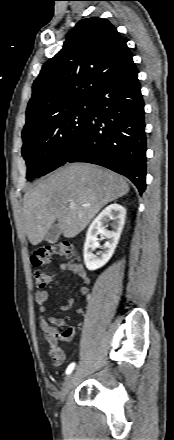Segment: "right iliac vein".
Returning a JSON list of instances; mask_svg holds the SVG:
<instances>
[{
	"label": "right iliac vein",
	"mask_w": 174,
	"mask_h": 440,
	"mask_svg": "<svg viewBox=\"0 0 174 440\" xmlns=\"http://www.w3.org/2000/svg\"><path fill=\"white\" fill-rule=\"evenodd\" d=\"M74 378H75V373L72 372L71 374H69L67 376V378L65 379V381L63 383L61 394H60V400L62 403L64 402L66 395L69 393V391L71 390V388L73 386Z\"/></svg>",
	"instance_id": "obj_1"
}]
</instances>
